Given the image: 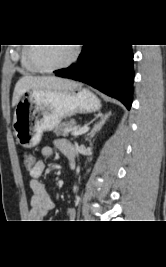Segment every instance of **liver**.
I'll use <instances>...</instances> for the list:
<instances>
[{
  "mask_svg": "<svg viewBox=\"0 0 166 267\" xmlns=\"http://www.w3.org/2000/svg\"><path fill=\"white\" fill-rule=\"evenodd\" d=\"M80 87V84L55 76H23L15 85L12 106H16L21 96L30 90L65 91Z\"/></svg>",
  "mask_w": 166,
  "mask_h": 267,
  "instance_id": "1",
  "label": "liver"
}]
</instances>
